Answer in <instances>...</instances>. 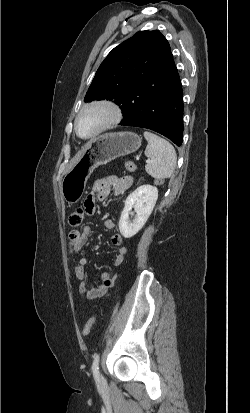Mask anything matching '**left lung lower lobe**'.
Instances as JSON below:
<instances>
[{
    "label": "left lung lower lobe",
    "mask_w": 250,
    "mask_h": 413,
    "mask_svg": "<svg viewBox=\"0 0 250 413\" xmlns=\"http://www.w3.org/2000/svg\"><path fill=\"white\" fill-rule=\"evenodd\" d=\"M122 112L120 125L151 129L177 146L182 144L183 94L172 54L166 72L153 81H144Z\"/></svg>",
    "instance_id": "0a47b994"
}]
</instances>
